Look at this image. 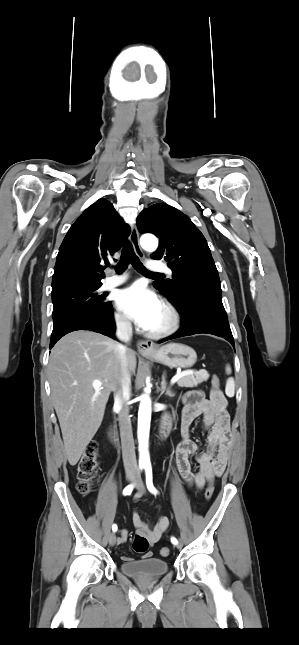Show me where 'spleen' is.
<instances>
[{"instance_id":"1","label":"spleen","mask_w":299,"mask_h":645,"mask_svg":"<svg viewBox=\"0 0 299 645\" xmlns=\"http://www.w3.org/2000/svg\"><path fill=\"white\" fill-rule=\"evenodd\" d=\"M226 373L231 374V367L229 365L226 366ZM226 395L229 397H233L235 393V381L234 378L230 377L226 381V388H225Z\"/></svg>"}]
</instances>
